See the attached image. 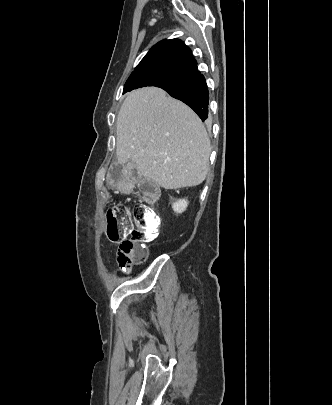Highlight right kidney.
<instances>
[{"mask_svg": "<svg viewBox=\"0 0 332 405\" xmlns=\"http://www.w3.org/2000/svg\"><path fill=\"white\" fill-rule=\"evenodd\" d=\"M188 206V201L186 199H179L172 204V208L176 214L183 213Z\"/></svg>", "mask_w": 332, "mask_h": 405, "instance_id": "ca27d5eb", "label": "right kidney"}]
</instances>
